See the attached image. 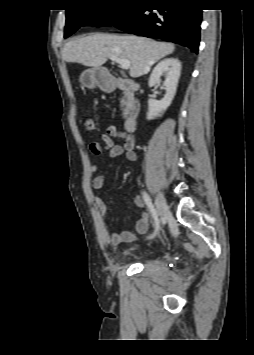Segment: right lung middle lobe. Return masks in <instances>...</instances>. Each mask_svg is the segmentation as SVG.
I'll return each mask as SVG.
<instances>
[{
  "mask_svg": "<svg viewBox=\"0 0 254 355\" xmlns=\"http://www.w3.org/2000/svg\"><path fill=\"white\" fill-rule=\"evenodd\" d=\"M121 3H103L96 9L66 10V26L64 37L72 35L79 27L92 25L96 27L111 26L124 16L129 9L145 0H122Z\"/></svg>",
  "mask_w": 254,
  "mask_h": 355,
  "instance_id": "obj_1",
  "label": "right lung middle lobe"
}]
</instances>
